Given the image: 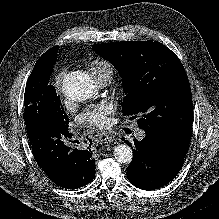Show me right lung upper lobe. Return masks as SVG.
Listing matches in <instances>:
<instances>
[{"label": "right lung upper lobe", "instance_id": "cb5924a9", "mask_svg": "<svg viewBox=\"0 0 219 219\" xmlns=\"http://www.w3.org/2000/svg\"><path fill=\"white\" fill-rule=\"evenodd\" d=\"M56 51H58V47L56 48V47H53V48H51L50 50H48L47 52H56ZM46 53V52H45Z\"/></svg>", "mask_w": 219, "mask_h": 219}]
</instances>
